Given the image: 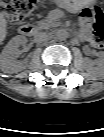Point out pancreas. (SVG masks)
<instances>
[{
    "mask_svg": "<svg viewBox=\"0 0 104 137\" xmlns=\"http://www.w3.org/2000/svg\"><path fill=\"white\" fill-rule=\"evenodd\" d=\"M39 24L42 25V24H44V22H40Z\"/></svg>",
    "mask_w": 104,
    "mask_h": 137,
    "instance_id": "1",
    "label": "pancreas"
}]
</instances>
